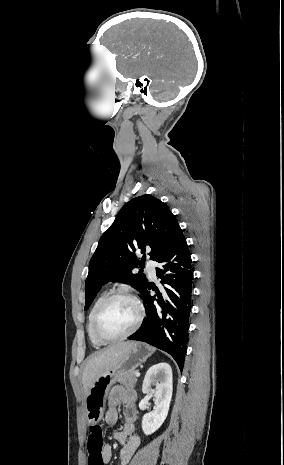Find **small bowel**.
I'll list each match as a JSON object with an SVG mask.
<instances>
[{"label": "small bowel", "mask_w": 284, "mask_h": 465, "mask_svg": "<svg viewBox=\"0 0 284 465\" xmlns=\"http://www.w3.org/2000/svg\"><path fill=\"white\" fill-rule=\"evenodd\" d=\"M136 392L134 390L124 389L120 385L114 386L108 396V408L105 414V422L112 426L119 419V410L123 405L124 424L120 431L113 433L116 439L122 445L120 451L121 465H128L134 453L140 445V438L135 431V422L137 419V411L134 408L136 401ZM112 449L106 445L103 449V459L105 462H110L112 459Z\"/></svg>", "instance_id": "small-bowel-1"}]
</instances>
